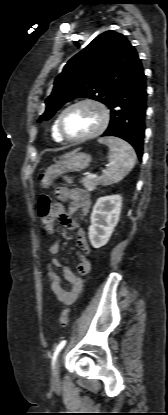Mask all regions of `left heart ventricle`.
<instances>
[{
	"label": "left heart ventricle",
	"mask_w": 168,
	"mask_h": 415,
	"mask_svg": "<svg viewBox=\"0 0 168 415\" xmlns=\"http://www.w3.org/2000/svg\"><path fill=\"white\" fill-rule=\"evenodd\" d=\"M100 111L89 104L70 109L64 116L63 127L70 137H81L93 132L100 124Z\"/></svg>",
	"instance_id": "obj_1"
}]
</instances>
